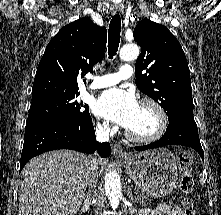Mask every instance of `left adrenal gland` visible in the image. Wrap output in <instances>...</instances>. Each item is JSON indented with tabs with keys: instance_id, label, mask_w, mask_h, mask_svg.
<instances>
[{
	"instance_id": "a2214340",
	"label": "left adrenal gland",
	"mask_w": 221,
	"mask_h": 215,
	"mask_svg": "<svg viewBox=\"0 0 221 215\" xmlns=\"http://www.w3.org/2000/svg\"><path fill=\"white\" fill-rule=\"evenodd\" d=\"M127 195L129 196V198H131L132 201H134L135 199L133 198V194L131 191V188L128 186L127 188Z\"/></svg>"
}]
</instances>
